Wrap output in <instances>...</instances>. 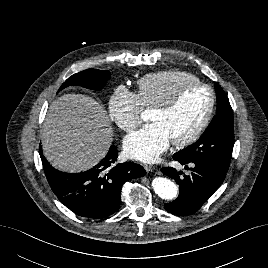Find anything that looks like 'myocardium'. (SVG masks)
Here are the masks:
<instances>
[{
  "label": "myocardium",
  "mask_w": 268,
  "mask_h": 268,
  "mask_svg": "<svg viewBox=\"0 0 268 268\" xmlns=\"http://www.w3.org/2000/svg\"><path fill=\"white\" fill-rule=\"evenodd\" d=\"M194 87H202L208 90L210 94L209 104L202 119L194 128V130L186 137L179 139V140L172 141V144L177 147H185L195 142L199 138L201 133L204 131L206 126L208 125L211 119L213 110H214V106H215L214 90L209 85L201 81H193V82L184 83L174 91V93L169 97V99H167L164 103L157 105L153 108V110L161 112V113H167L171 111L177 105L182 94L188 89L194 88Z\"/></svg>",
  "instance_id": "1"
}]
</instances>
